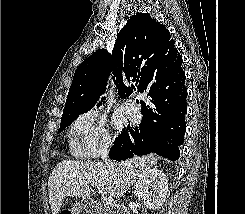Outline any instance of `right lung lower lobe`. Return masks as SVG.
I'll return each instance as SVG.
<instances>
[{
  "instance_id": "98d812e1",
  "label": "right lung lower lobe",
  "mask_w": 245,
  "mask_h": 214,
  "mask_svg": "<svg viewBox=\"0 0 245 214\" xmlns=\"http://www.w3.org/2000/svg\"><path fill=\"white\" fill-rule=\"evenodd\" d=\"M185 77L175 78L171 70H153L146 82L150 102L142 105L143 119L139 127L123 132L109 152L114 160H125L134 155L156 153L170 160L180 156L186 131L187 90Z\"/></svg>"
}]
</instances>
